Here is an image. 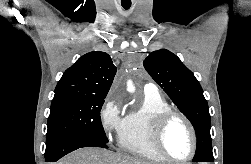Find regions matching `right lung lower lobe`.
I'll return each mask as SVG.
<instances>
[{
	"label": "right lung lower lobe",
	"mask_w": 251,
	"mask_h": 164,
	"mask_svg": "<svg viewBox=\"0 0 251 164\" xmlns=\"http://www.w3.org/2000/svg\"><path fill=\"white\" fill-rule=\"evenodd\" d=\"M82 147L108 148L107 143L95 138L79 135H62L46 142L45 161L56 162L66 154Z\"/></svg>",
	"instance_id": "obj_1"
}]
</instances>
